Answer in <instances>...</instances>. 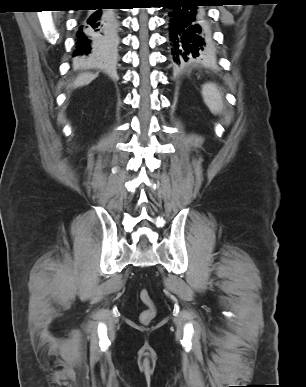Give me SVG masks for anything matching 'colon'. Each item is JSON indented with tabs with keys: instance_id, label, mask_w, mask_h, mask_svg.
I'll use <instances>...</instances> for the list:
<instances>
[{
	"instance_id": "obj_1",
	"label": "colon",
	"mask_w": 306,
	"mask_h": 387,
	"mask_svg": "<svg viewBox=\"0 0 306 387\" xmlns=\"http://www.w3.org/2000/svg\"><path fill=\"white\" fill-rule=\"evenodd\" d=\"M139 296L143 304L146 306L145 310L140 314V322L146 325L149 324L156 316V307L147 289H142Z\"/></svg>"
}]
</instances>
